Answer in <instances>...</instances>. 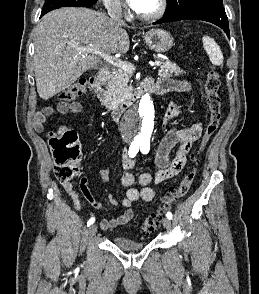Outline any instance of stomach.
Wrapping results in <instances>:
<instances>
[{
	"label": "stomach",
	"instance_id": "stomach-1",
	"mask_svg": "<svg viewBox=\"0 0 259 294\" xmlns=\"http://www.w3.org/2000/svg\"><path fill=\"white\" fill-rule=\"evenodd\" d=\"M145 44L157 53H165L174 46L172 35L164 29H152L144 33Z\"/></svg>",
	"mask_w": 259,
	"mask_h": 294
}]
</instances>
